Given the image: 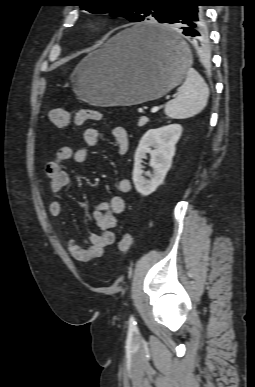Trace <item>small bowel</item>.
Masks as SVG:
<instances>
[{"instance_id": "1", "label": "small bowel", "mask_w": 255, "mask_h": 387, "mask_svg": "<svg viewBox=\"0 0 255 387\" xmlns=\"http://www.w3.org/2000/svg\"><path fill=\"white\" fill-rule=\"evenodd\" d=\"M117 152L124 155L129 147V137L125 128L116 126L111 130ZM83 141L88 147H95L101 142L100 132L93 127H88L83 132ZM72 160L82 164L88 160L86 148L73 149L63 146L57 150L52 160L46 163L44 171L49 181L50 189L53 193H59L67 188L71 183L69 173L62 168V163ZM119 194H127L131 191V182L127 178H122L117 182ZM125 209V201L121 195H114L107 202H101L93 211V220L99 232L90 235L89 245L82 247L75 240L69 239L67 248L71 256L82 262H87L100 257L104 250L113 245L115 237L112 232L117 224V216ZM49 213L52 217H59L62 213V204L53 201L49 205Z\"/></svg>"}]
</instances>
